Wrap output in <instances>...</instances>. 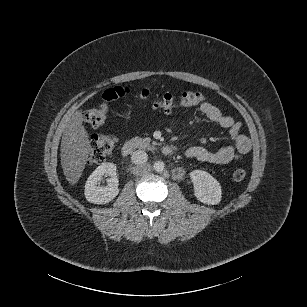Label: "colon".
Masks as SVG:
<instances>
[{"label": "colon", "mask_w": 307, "mask_h": 307, "mask_svg": "<svg viewBox=\"0 0 307 307\" xmlns=\"http://www.w3.org/2000/svg\"><path fill=\"white\" fill-rule=\"evenodd\" d=\"M128 92L129 89L127 87L121 86L106 90L103 94V103L99 107L90 109L85 113V123L93 128L101 126L108 116L109 103L124 97ZM139 99L144 105L165 113L206 102L204 95L195 91H185L178 98L165 94L158 99L151 100L150 92L144 89L139 93ZM116 144L117 138L112 134L94 136L91 141L89 163L92 165L102 163L112 153ZM232 176L236 181L243 180L246 176L245 168L242 166L235 167Z\"/></svg>", "instance_id": "colon-1"}]
</instances>
